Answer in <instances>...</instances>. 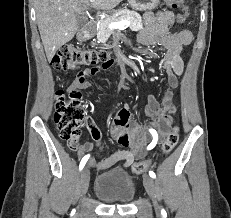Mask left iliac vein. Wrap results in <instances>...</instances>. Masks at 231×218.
<instances>
[{"instance_id":"left-iliac-vein-1","label":"left iliac vein","mask_w":231,"mask_h":218,"mask_svg":"<svg viewBox=\"0 0 231 218\" xmlns=\"http://www.w3.org/2000/svg\"><path fill=\"white\" fill-rule=\"evenodd\" d=\"M143 183H144V187L148 193V195L150 196V198L152 199L154 208L156 212H159L160 210V206L158 204V199H157V191H156V183L153 180L152 177L148 176V175H144L143 176Z\"/></svg>"}]
</instances>
